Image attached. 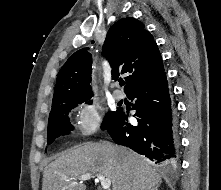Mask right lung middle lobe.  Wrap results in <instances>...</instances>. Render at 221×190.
<instances>
[{"instance_id":"right-lung-middle-lobe-1","label":"right lung middle lobe","mask_w":221,"mask_h":190,"mask_svg":"<svg viewBox=\"0 0 221 190\" xmlns=\"http://www.w3.org/2000/svg\"><path fill=\"white\" fill-rule=\"evenodd\" d=\"M82 102L84 101H69L52 105L48 122V144L52 143L57 137L69 134L73 130V126L69 122L68 112ZM91 103L92 101L88 102V104ZM118 111L119 109L116 112H108L101 126L102 129H108L116 118Z\"/></svg>"}]
</instances>
